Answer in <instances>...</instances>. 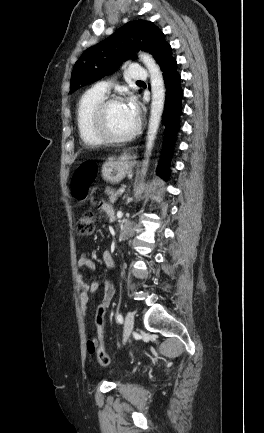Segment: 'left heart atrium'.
I'll list each match as a JSON object with an SVG mask.
<instances>
[{
	"label": "left heart atrium",
	"instance_id": "left-heart-atrium-1",
	"mask_svg": "<svg viewBox=\"0 0 264 433\" xmlns=\"http://www.w3.org/2000/svg\"><path fill=\"white\" fill-rule=\"evenodd\" d=\"M126 106L133 117L138 118V106L134 99H129L126 103Z\"/></svg>",
	"mask_w": 264,
	"mask_h": 433
}]
</instances>
